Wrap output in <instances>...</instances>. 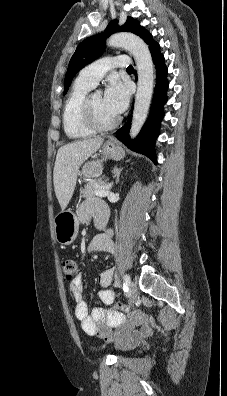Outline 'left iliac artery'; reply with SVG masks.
<instances>
[{"label":"left iliac artery","mask_w":227,"mask_h":396,"mask_svg":"<svg viewBox=\"0 0 227 396\" xmlns=\"http://www.w3.org/2000/svg\"><path fill=\"white\" fill-rule=\"evenodd\" d=\"M129 284H130V276L128 274H125L123 277V288L125 292L128 291Z\"/></svg>","instance_id":"1"}]
</instances>
